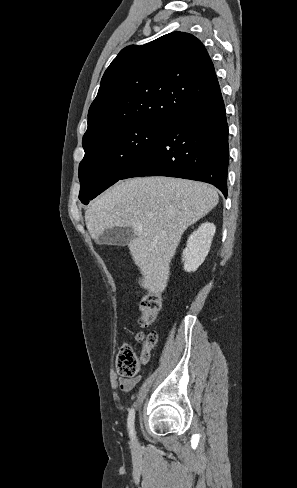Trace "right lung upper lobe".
<instances>
[{
    "mask_svg": "<svg viewBox=\"0 0 297 488\" xmlns=\"http://www.w3.org/2000/svg\"><path fill=\"white\" fill-rule=\"evenodd\" d=\"M219 93L211 58L192 34L172 32L143 46H127L102 77L83 148L131 124L171 122Z\"/></svg>",
    "mask_w": 297,
    "mask_h": 488,
    "instance_id": "obj_1",
    "label": "right lung upper lobe"
}]
</instances>
